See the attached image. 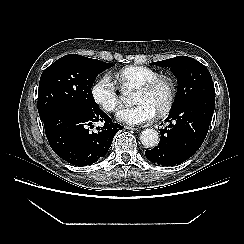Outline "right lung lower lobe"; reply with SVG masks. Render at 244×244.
Returning a JSON list of instances; mask_svg holds the SVG:
<instances>
[{
    "label": "right lung lower lobe",
    "mask_w": 244,
    "mask_h": 244,
    "mask_svg": "<svg viewBox=\"0 0 244 244\" xmlns=\"http://www.w3.org/2000/svg\"><path fill=\"white\" fill-rule=\"evenodd\" d=\"M53 151L75 166H87L105 156L114 135L123 127L99 107L55 106L40 116ZM101 127L92 131L95 125Z\"/></svg>",
    "instance_id": "98d812e1"
}]
</instances>
